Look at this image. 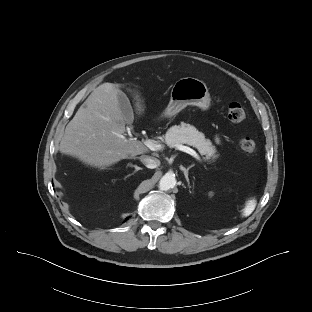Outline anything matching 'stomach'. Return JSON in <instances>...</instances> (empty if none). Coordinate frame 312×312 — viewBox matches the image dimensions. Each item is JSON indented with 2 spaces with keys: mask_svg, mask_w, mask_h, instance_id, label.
<instances>
[{
  "mask_svg": "<svg viewBox=\"0 0 312 312\" xmlns=\"http://www.w3.org/2000/svg\"><path fill=\"white\" fill-rule=\"evenodd\" d=\"M170 101L163 112L164 117H173L188 105L208 110L211 98L206 84L196 78H181L173 85Z\"/></svg>",
  "mask_w": 312,
  "mask_h": 312,
  "instance_id": "stomach-1",
  "label": "stomach"
}]
</instances>
